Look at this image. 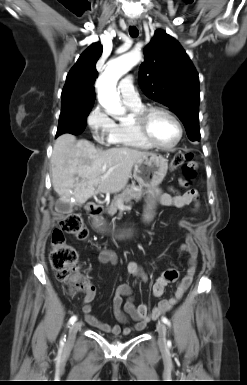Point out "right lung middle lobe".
<instances>
[{
	"mask_svg": "<svg viewBox=\"0 0 247 385\" xmlns=\"http://www.w3.org/2000/svg\"><path fill=\"white\" fill-rule=\"evenodd\" d=\"M56 137L63 133L78 135L86 127L87 116L93 104L62 102Z\"/></svg>",
	"mask_w": 247,
	"mask_h": 385,
	"instance_id": "right-lung-middle-lobe-1",
	"label": "right lung middle lobe"
}]
</instances>
